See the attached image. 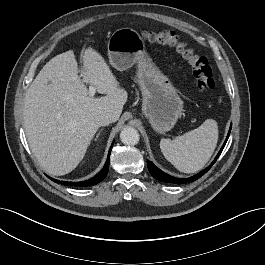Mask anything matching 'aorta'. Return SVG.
<instances>
[{
	"mask_svg": "<svg viewBox=\"0 0 265 265\" xmlns=\"http://www.w3.org/2000/svg\"><path fill=\"white\" fill-rule=\"evenodd\" d=\"M120 139L125 145H136L139 142V133L133 127H125L120 133Z\"/></svg>",
	"mask_w": 265,
	"mask_h": 265,
	"instance_id": "1",
	"label": "aorta"
}]
</instances>
